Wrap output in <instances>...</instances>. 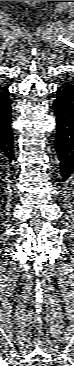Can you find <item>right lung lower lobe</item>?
Segmentation results:
<instances>
[{
  "label": "right lung lower lobe",
  "mask_w": 74,
  "mask_h": 366,
  "mask_svg": "<svg viewBox=\"0 0 74 366\" xmlns=\"http://www.w3.org/2000/svg\"><path fill=\"white\" fill-rule=\"evenodd\" d=\"M11 96L6 86L0 85V158L12 162L14 140L10 127Z\"/></svg>",
  "instance_id": "1"
}]
</instances>
